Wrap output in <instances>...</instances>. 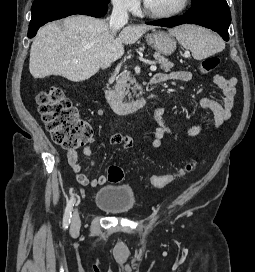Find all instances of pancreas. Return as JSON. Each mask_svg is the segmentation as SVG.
Instances as JSON below:
<instances>
[{
    "label": "pancreas",
    "mask_w": 255,
    "mask_h": 272,
    "mask_svg": "<svg viewBox=\"0 0 255 272\" xmlns=\"http://www.w3.org/2000/svg\"><path fill=\"white\" fill-rule=\"evenodd\" d=\"M153 57L156 61H158L160 68L165 72L171 71V69L174 67L173 63L160 53H155ZM115 89L122 98L128 97V99H131V91L137 97L141 94V92L137 93L138 90H141V87L138 85L135 77L129 71H124L120 74L116 81Z\"/></svg>",
    "instance_id": "cf45deb5"
}]
</instances>
